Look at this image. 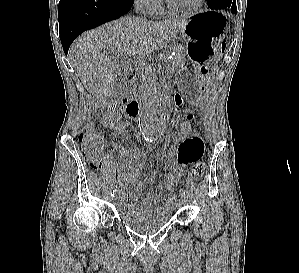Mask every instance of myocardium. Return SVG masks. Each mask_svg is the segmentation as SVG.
Instances as JSON below:
<instances>
[{"mask_svg": "<svg viewBox=\"0 0 299 273\" xmlns=\"http://www.w3.org/2000/svg\"><path fill=\"white\" fill-rule=\"evenodd\" d=\"M165 5L167 9L174 13V14H179V15H185V16H190L196 14L204 5L205 0H198L197 3L189 8V9H181L172 4L170 0H164Z\"/></svg>", "mask_w": 299, "mask_h": 273, "instance_id": "f54148a6", "label": "myocardium"}]
</instances>
